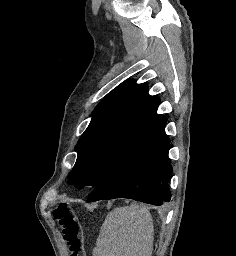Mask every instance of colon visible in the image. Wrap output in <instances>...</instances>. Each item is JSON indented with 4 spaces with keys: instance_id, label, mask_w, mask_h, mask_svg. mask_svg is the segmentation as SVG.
Wrapping results in <instances>:
<instances>
[{
    "instance_id": "1",
    "label": "colon",
    "mask_w": 236,
    "mask_h": 256,
    "mask_svg": "<svg viewBox=\"0 0 236 256\" xmlns=\"http://www.w3.org/2000/svg\"><path fill=\"white\" fill-rule=\"evenodd\" d=\"M53 216L62 229L70 256H87L77 208L66 202H58L53 210Z\"/></svg>"
}]
</instances>
